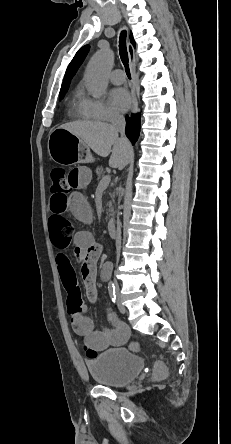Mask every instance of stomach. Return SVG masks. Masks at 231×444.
<instances>
[{
    "mask_svg": "<svg viewBox=\"0 0 231 444\" xmlns=\"http://www.w3.org/2000/svg\"><path fill=\"white\" fill-rule=\"evenodd\" d=\"M48 152L50 157L60 164L93 161L89 147L80 138L60 127L49 135Z\"/></svg>",
    "mask_w": 231,
    "mask_h": 444,
    "instance_id": "1",
    "label": "stomach"
}]
</instances>
